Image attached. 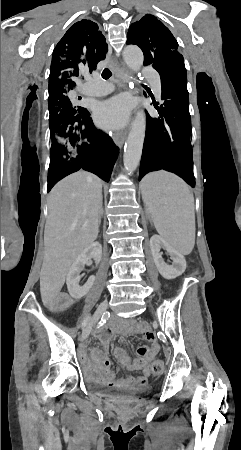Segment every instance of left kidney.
Here are the masks:
<instances>
[{
    "mask_svg": "<svg viewBox=\"0 0 241 450\" xmlns=\"http://www.w3.org/2000/svg\"><path fill=\"white\" fill-rule=\"evenodd\" d=\"M150 248L155 266H157V270L163 278H166V280H173V278H177V276H181V274L185 272L186 260L184 256L179 254L177 250H174L172 246H169L161 236H152ZM161 248L170 254L171 260H173L172 266H168V264L164 262L162 252H160Z\"/></svg>",
    "mask_w": 241,
    "mask_h": 450,
    "instance_id": "obj_1",
    "label": "left kidney"
}]
</instances>
